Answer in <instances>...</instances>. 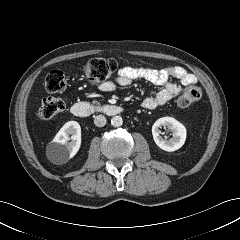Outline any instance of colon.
<instances>
[{"label":"colon","mask_w":240,"mask_h":240,"mask_svg":"<svg viewBox=\"0 0 240 240\" xmlns=\"http://www.w3.org/2000/svg\"><path fill=\"white\" fill-rule=\"evenodd\" d=\"M118 64L114 59L97 58L87 62L83 68L86 79L92 84H99L107 80L116 72ZM66 87V78L62 71L53 70L45 79V89L48 92H60ZM202 89L198 85H190L178 97L180 107H188L197 103L202 98ZM66 100L61 97H52L46 99L38 113V120H48L59 113L66 107Z\"/></svg>","instance_id":"colon-1"}]
</instances>
